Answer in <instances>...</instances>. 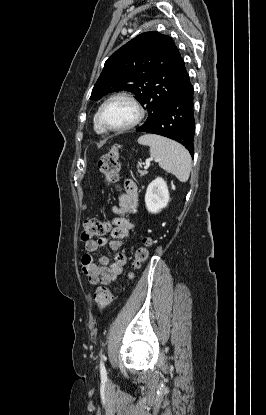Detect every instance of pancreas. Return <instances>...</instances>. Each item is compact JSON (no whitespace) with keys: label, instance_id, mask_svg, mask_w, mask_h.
<instances>
[{"label":"pancreas","instance_id":"pancreas-1","mask_svg":"<svg viewBox=\"0 0 266 415\" xmlns=\"http://www.w3.org/2000/svg\"><path fill=\"white\" fill-rule=\"evenodd\" d=\"M147 173V171H139L140 177L145 176Z\"/></svg>","mask_w":266,"mask_h":415}]
</instances>
